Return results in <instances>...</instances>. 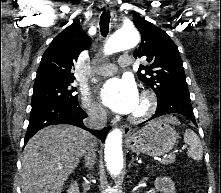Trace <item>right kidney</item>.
Segmentation results:
<instances>
[{
	"label": "right kidney",
	"mask_w": 221,
	"mask_h": 193,
	"mask_svg": "<svg viewBox=\"0 0 221 193\" xmlns=\"http://www.w3.org/2000/svg\"><path fill=\"white\" fill-rule=\"evenodd\" d=\"M67 192H68V193H80V192H79L78 184H77L76 182H73V183L70 185V187H69V189H68Z\"/></svg>",
	"instance_id": "ca27d5eb"
}]
</instances>
